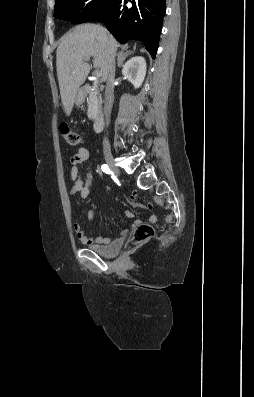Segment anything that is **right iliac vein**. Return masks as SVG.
Returning a JSON list of instances; mask_svg holds the SVG:
<instances>
[{"mask_svg":"<svg viewBox=\"0 0 254 397\" xmlns=\"http://www.w3.org/2000/svg\"><path fill=\"white\" fill-rule=\"evenodd\" d=\"M105 160L108 164V166L110 167V169L116 174L119 175L120 174V170L119 168L116 166V163L114 161L113 156L110 153H106L105 154Z\"/></svg>","mask_w":254,"mask_h":397,"instance_id":"right-iliac-vein-1","label":"right iliac vein"}]
</instances>
